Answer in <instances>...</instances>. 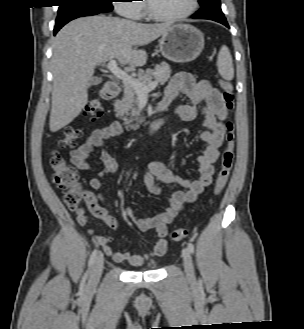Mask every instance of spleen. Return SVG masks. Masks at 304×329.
I'll return each instance as SVG.
<instances>
[{"mask_svg":"<svg viewBox=\"0 0 304 329\" xmlns=\"http://www.w3.org/2000/svg\"><path fill=\"white\" fill-rule=\"evenodd\" d=\"M218 71L225 80H232L234 77V68L232 56L227 46H222L217 57Z\"/></svg>","mask_w":304,"mask_h":329,"instance_id":"3e777b00","label":"spleen"}]
</instances>
